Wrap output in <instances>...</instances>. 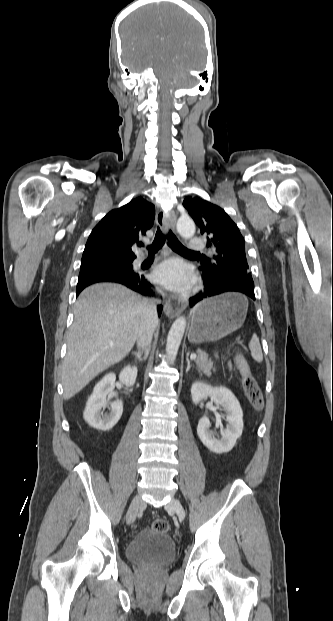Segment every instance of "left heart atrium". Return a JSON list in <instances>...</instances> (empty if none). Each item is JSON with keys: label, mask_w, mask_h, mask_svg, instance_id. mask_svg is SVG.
Masks as SVG:
<instances>
[{"label": "left heart atrium", "mask_w": 333, "mask_h": 621, "mask_svg": "<svg viewBox=\"0 0 333 621\" xmlns=\"http://www.w3.org/2000/svg\"><path fill=\"white\" fill-rule=\"evenodd\" d=\"M153 280L165 288L171 290H185L194 283L184 265L178 260H167L158 265L152 274Z\"/></svg>", "instance_id": "left-heart-atrium-1"}]
</instances>
